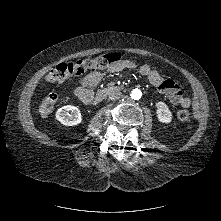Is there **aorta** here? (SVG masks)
<instances>
[{
  "label": "aorta",
  "instance_id": "aorta-1",
  "mask_svg": "<svg viewBox=\"0 0 221 221\" xmlns=\"http://www.w3.org/2000/svg\"><path fill=\"white\" fill-rule=\"evenodd\" d=\"M142 97V92L139 89H133L131 92V98L139 100Z\"/></svg>",
  "mask_w": 221,
  "mask_h": 221
}]
</instances>
